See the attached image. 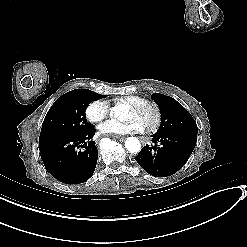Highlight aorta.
Returning <instances> with one entry per match:
<instances>
[{"label": "aorta", "instance_id": "1", "mask_svg": "<svg viewBox=\"0 0 247 247\" xmlns=\"http://www.w3.org/2000/svg\"><path fill=\"white\" fill-rule=\"evenodd\" d=\"M128 107L125 104H117L112 108L113 115L120 121H124L128 115ZM125 148L131 153H137L141 149L140 141L136 137H128Z\"/></svg>", "mask_w": 247, "mask_h": 247}]
</instances>
